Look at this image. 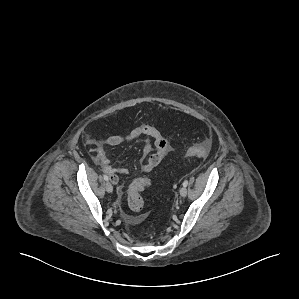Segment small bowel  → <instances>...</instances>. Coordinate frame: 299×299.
Instances as JSON below:
<instances>
[{
  "label": "small bowel",
  "mask_w": 299,
  "mask_h": 299,
  "mask_svg": "<svg viewBox=\"0 0 299 299\" xmlns=\"http://www.w3.org/2000/svg\"><path fill=\"white\" fill-rule=\"evenodd\" d=\"M142 138L144 146L142 150L141 168L144 172H151L168 154L170 146L161 133L150 125H140L133 128L126 135H113L105 139L104 144L108 146H118L123 143L132 142ZM93 160L104 172L110 175L113 183H118L117 174H127L128 169L124 167L115 168L104 150L98 147L94 151Z\"/></svg>",
  "instance_id": "1"
}]
</instances>
